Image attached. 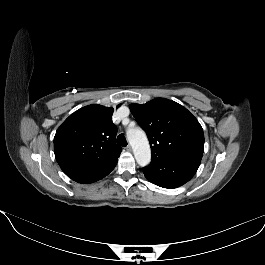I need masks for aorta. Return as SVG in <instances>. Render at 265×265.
<instances>
[{"mask_svg":"<svg viewBox=\"0 0 265 265\" xmlns=\"http://www.w3.org/2000/svg\"><path fill=\"white\" fill-rule=\"evenodd\" d=\"M127 139L133 149L136 162L145 167L151 161L150 146L145 132L141 128L127 130Z\"/></svg>","mask_w":265,"mask_h":265,"instance_id":"obj_1","label":"aorta"}]
</instances>
